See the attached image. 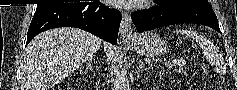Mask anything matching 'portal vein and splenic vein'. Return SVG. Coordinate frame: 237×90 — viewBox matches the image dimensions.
<instances>
[{
    "label": "portal vein and splenic vein",
    "mask_w": 237,
    "mask_h": 90,
    "mask_svg": "<svg viewBox=\"0 0 237 90\" xmlns=\"http://www.w3.org/2000/svg\"><path fill=\"white\" fill-rule=\"evenodd\" d=\"M180 66H185L184 62H182V64H180Z\"/></svg>",
    "instance_id": "obj_1"
}]
</instances>
